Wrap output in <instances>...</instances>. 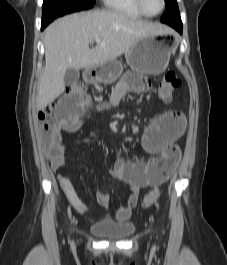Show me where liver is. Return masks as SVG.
I'll list each match as a JSON object with an SVG mask.
<instances>
[{"mask_svg":"<svg viewBox=\"0 0 227 265\" xmlns=\"http://www.w3.org/2000/svg\"><path fill=\"white\" fill-rule=\"evenodd\" d=\"M164 33L167 29L161 25L118 11L74 13L57 19L44 32L45 68L39 79L37 109H44L64 92L68 69L102 65L127 52L140 39ZM95 39L101 43L90 49Z\"/></svg>","mask_w":227,"mask_h":265,"instance_id":"1","label":"liver"}]
</instances>
